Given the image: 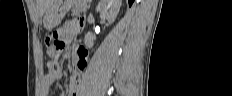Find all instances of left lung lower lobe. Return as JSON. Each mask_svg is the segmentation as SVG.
Segmentation results:
<instances>
[{"label": "left lung lower lobe", "mask_w": 232, "mask_h": 96, "mask_svg": "<svg viewBox=\"0 0 232 96\" xmlns=\"http://www.w3.org/2000/svg\"><path fill=\"white\" fill-rule=\"evenodd\" d=\"M134 0H128L129 5L131 6Z\"/></svg>", "instance_id": "0a47b994"}]
</instances>
